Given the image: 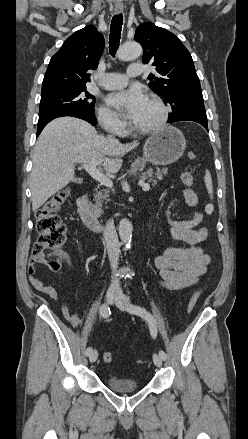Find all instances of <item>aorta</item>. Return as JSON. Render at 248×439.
<instances>
[{
  "instance_id": "762f6f07",
  "label": "aorta",
  "mask_w": 248,
  "mask_h": 439,
  "mask_svg": "<svg viewBox=\"0 0 248 439\" xmlns=\"http://www.w3.org/2000/svg\"><path fill=\"white\" fill-rule=\"evenodd\" d=\"M142 53V47L137 42H129L123 44L118 50V58L122 61H128L138 58ZM119 236L126 247H130L132 240V223L124 218L120 221L118 226Z\"/></svg>"
}]
</instances>
